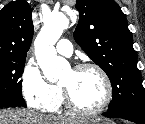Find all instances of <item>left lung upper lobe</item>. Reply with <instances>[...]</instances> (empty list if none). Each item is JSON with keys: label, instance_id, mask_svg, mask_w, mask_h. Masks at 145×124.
Returning a JSON list of instances; mask_svg holds the SVG:
<instances>
[{"label": "left lung upper lobe", "instance_id": "1", "mask_svg": "<svg viewBox=\"0 0 145 124\" xmlns=\"http://www.w3.org/2000/svg\"><path fill=\"white\" fill-rule=\"evenodd\" d=\"M76 9L80 17L75 41L112 84L108 111L134 109L145 113L142 77L125 14L114 0H77Z\"/></svg>", "mask_w": 145, "mask_h": 124}]
</instances>
